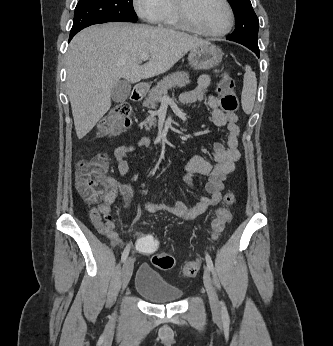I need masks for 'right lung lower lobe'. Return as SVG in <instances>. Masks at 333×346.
<instances>
[{
  "instance_id": "1",
  "label": "right lung lower lobe",
  "mask_w": 333,
  "mask_h": 346,
  "mask_svg": "<svg viewBox=\"0 0 333 346\" xmlns=\"http://www.w3.org/2000/svg\"><path fill=\"white\" fill-rule=\"evenodd\" d=\"M75 34H70V38H69V41L73 38Z\"/></svg>"
}]
</instances>
